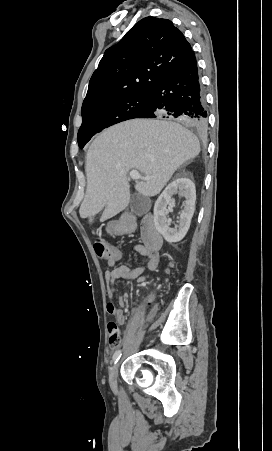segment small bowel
<instances>
[{"mask_svg":"<svg viewBox=\"0 0 272 451\" xmlns=\"http://www.w3.org/2000/svg\"><path fill=\"white\" fill-rule=\"evenodd\" d=\"M139 252L148 258L145 270L156 271L160 265L159 251H151L145 246L138 247ZM121 254L107 259V265L110 267L105 272V284L109 301L106 304V311L112 315L119 325H124L126 317L123 308L126 306V300L123 296H118L117 303L114 301L117 288L115 282L119 279L134 280L139 278L142 274H135L134 269H130L127 265H120L114 267L120 260ZM114 267V268H113Z\"/></svg>","mask_w":272,"mask_h":451,"instance_id":"1","label":"small bowel"}]
</instances>
